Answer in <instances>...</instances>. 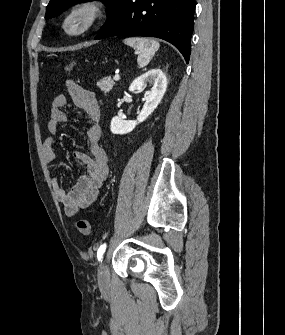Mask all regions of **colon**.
I'll use <instances>...</instances> for the list:
<instances>
[{
	"instance_id": "5ec220e1",
	"label": "colon",
	"mask_w": 285,
	"mask_h": 335,
	"mask_svg": "<svg viewBox=\"0 0 285 335\" xmlns=\"http://www.w3.org/2000/svg\"><path fill=\"white\" fill-rule=\"evenodd\" d=\"M74 63L69 62L65 65V71L71 73L74 70ZM77 229L83 235H88L91 232V226L88 220L80 219L77 221Z\"/></svg>"
}]
</instances>
